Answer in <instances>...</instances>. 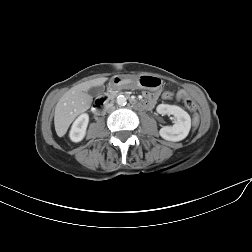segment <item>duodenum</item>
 <instances>
[{"label":"duodenum","instance_id":"410a0bca","mask_svg":"<svg viewBox=\"0 0 252 252\" xmlns=\"http://www.w3.org/2000/svg\"><path fill=\"white\" fill-rule=\"evenodd\" d=\"M114 88H115V83H111L110 89L114 90ZM112 96H113V94H109V95L102 96V97L98 98L94 104V108H93L94 112L96 114H100L104 110V108L106 107V105L108 104V102L112 98ZM130 104L134 108H137V109H144L145 108V103L138 102L134 99L130 100Z\"/></svg>","mask_w":252,"mask_h":252}]
</instances>
